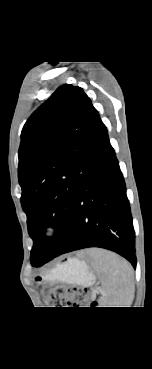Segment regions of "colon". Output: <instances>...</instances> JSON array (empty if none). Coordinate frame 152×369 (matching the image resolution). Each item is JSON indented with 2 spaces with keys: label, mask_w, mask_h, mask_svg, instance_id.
<instances>
[{
  "label": "colon",
  "mask_w": 152,
  "mask_h": 369,
  "mask_svg": "<svg viewBox=\"0 0 152 369\" xmlns=\"http://www.w3.org/2000/svg\"><path fill=\"white\" fill-rule=\"evenodd\" d=\"M45 299L54 307L70 305L83 307L89 302V293L77 286L57 285L45 291Z\"/></svg>",
  "instance_id": "colon-1"
}]
</instances>
